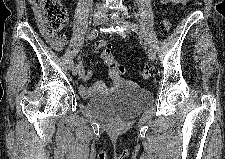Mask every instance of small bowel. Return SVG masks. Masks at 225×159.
I'll return each mask as SVG.
<instances>
[{"label":"small bowel","mask_w":225,"mask_h":159,"mask_svg":"<svg viewBox=\"0 0 225 159\" xmlns=\"http://www.w3.org/2000/svg\"><path fill=\"white\" fill-rule=\"evenodd\" d=\"M163 3H168L170 2V0H163ZM34 10L37 14H39V7L38 5L34 6ZM45 39L49 42V44L52 46L53 49H55L56 51H61L63 48V45L65 43V37L62 35L59 36H52L47 34L46 32H43ZM63 40V45L60 43V41ZM101 48H108L106 46V42L105 41H98L95 43L94 45V51H97ZM91 72L88 70H82V68H80V75L79 78L81 81H88L91 78ZM111 76V75H110ZM112 79H114L115 81H120V78H115L112 77ZM103 87V82L102 81H97L93 86H86L83 84H80L78 86V91L80 93V95L84 98H88L91 97L93 94H95L97 91H99L101 88Z\"/></svg>","instance_id":"small-bowel-1"}]
</instances>
